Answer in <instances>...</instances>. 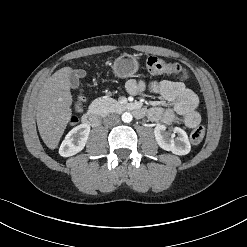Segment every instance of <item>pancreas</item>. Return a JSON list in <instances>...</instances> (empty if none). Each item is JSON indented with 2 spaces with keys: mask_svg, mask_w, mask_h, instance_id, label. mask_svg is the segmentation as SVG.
Segmentation results:
<instances>
[{
  "mask_svg": "<svg viewBox=\"0 0 247 247\" xmlns=\"http://www.w3.org/2000/svg\"><path fill=\"white\" fill-rule=\"evenodd\" d=\"M92 105L95 107V110L101 115H105L110 112H118L125 107L118 101L107 96L95 99L92 102Z\"/></svg>",
  "mask_w": 247,
  "mask_h": 247,
  "instance_id": "cf45deb5",
  "label": "pancreas"
}]
</instances>
